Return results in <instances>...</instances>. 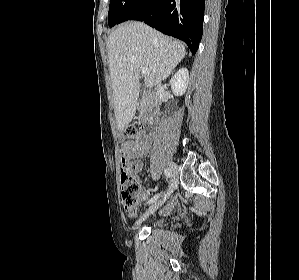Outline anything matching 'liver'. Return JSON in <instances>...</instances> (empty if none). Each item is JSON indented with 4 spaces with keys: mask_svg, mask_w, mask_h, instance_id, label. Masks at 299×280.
Masks as SVG:
<instances>
[{
    "mask_svg": "<svg viewBox=\"0 0 299 280\" xmlns=\"http://www.w3.org/2000/svg\"><path fill=\"white\" fill-rule=\"evenodd\" d=\"M114 113L118 130H123L136 113L140 91V68L148 88L159 85L173 73L186 55L184 45L148 25L130 21L120 25L107 41Z\"/></svg>",
    "mask_w": 299,
    "mask_h": 280,
    "instance_id": "6515ba94",
    "label": "liver"
}]
</instances>
